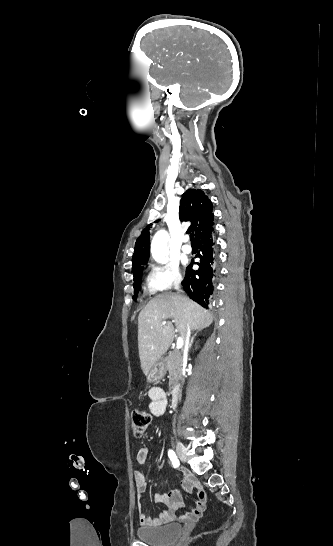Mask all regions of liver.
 I'll return each mask as SVG.
<instances>
[{
	"label": "liver",
	"mask_w": 333,
	"mask_h": 546,
	"mask_svg": "<svg viewBox=\"0 0 333 546\" xmlns=\"http://www.w3.org/2000/svg\"><path fill=\"white\" fill-rule=\"evenodd\" d=\"M166 319H172L174 325H163ZM212 322L208 310L186 297L166 292L153 298L138 316V349L144 375L169 349L176 332L184 339L188 326L200 330Z\"/></svg>",
	"instance_id": "6515ba94"
}]
</instances>
